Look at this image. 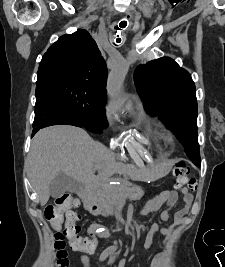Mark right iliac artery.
<instances>
[{"label": "right iliac artery", "mask_w": 225, "mask_h": 267, "mask_svg": "<svg viewBox=\"0 0 225 267\" xmlns=\"http://www.w3.org/2000/svg\"><path fill=\"white\" fill-rule=\"evenodd\" d=\"M100 229H97V232H99ZM113 250L111 248L105 249L101 256H100V261L105 260L110 254H112Z\"/></svg>", "instance_id": "1"}]
</instances>
